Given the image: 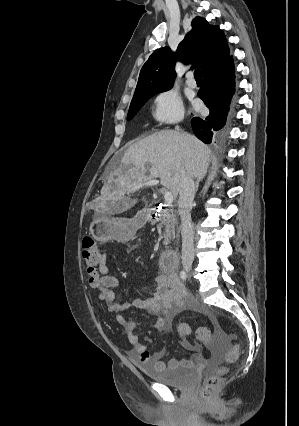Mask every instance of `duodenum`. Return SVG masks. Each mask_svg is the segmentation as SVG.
<instances>
[{
  "label": "duodenum",
  "instance_id": "duodenum-1",
  "mask_svg": "<svg viewBox=\"0 0 299 426\" xmlns=\"http://www.w3.org/2000/svg\"><path fill=\"white\" fill-rule=\"evenodd\" d=\"M179 261L178 253L174 249H168L161 253L159 257V266L162 269H173Z\"/></svg>",
  "mask_w": 299,
  "mask_h": 426
}]
</instances>
